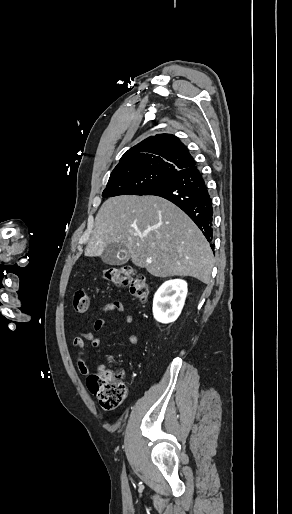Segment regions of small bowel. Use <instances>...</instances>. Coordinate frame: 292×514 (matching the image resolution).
<instances>
[{"instance_id":"1","label":"small bowel","mask_w":292,"mask_h":514,"mask_svg":"<svg viewBox=\"0 0 292 514\" xmlns=\"http://www.w3.org/2000/svg\"><path fill=\"white\" fill-rule=\"evenodd\" d=\"M123 312L124 305L119 300H113L103 304L97 310V314L92 322L91 329L87 332H80L73 338L72 345L77 350L76 366L78 372L82 376L88 377L91 375V370L85 359L86 341H90L93 347H98L99 339L97 338L96 334L104 327L106 323L105 315H120ZM133 321V316L130 314L125 315L123 318V322L126 325H131ZM126 340L130 345H137L140 342V338L136 334H128ZM97 369L99 371H103L105 366L103 364H99Z\"/></svg>"}]
</instances>
